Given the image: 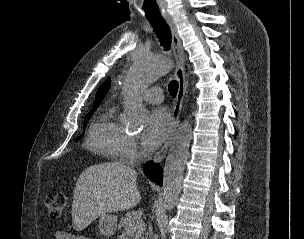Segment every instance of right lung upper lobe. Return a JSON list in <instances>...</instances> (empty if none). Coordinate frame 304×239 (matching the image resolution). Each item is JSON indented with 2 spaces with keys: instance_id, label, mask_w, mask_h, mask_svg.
<instances>
[{
  "instance_id": "right-lung-upper-lobe-1",
  "label": "right lung upper lobe",
  "mask_w": 304,
  "mask_h": 239,
  "mask_svg": "<svg viewBox=\"0 0 304 239\" xmlns=\"http://www.w3.org/2000/svg\"><path fill=\"white\" fill-rule=\"evenodd\" d=\"M110 87V79H107L98 89L97 93H96V97H95V101L93 104V107H98L99 104L101 103L102 99L104 98V96L106 95V93L108 92Z\"/></svg>"
}]
</instances>
